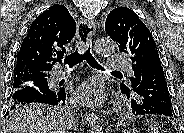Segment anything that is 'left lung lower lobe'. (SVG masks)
Masks as SVG:
<instances>
[{
    "label": "left lung lower lobe",
    "mask_w": 184,
    "mask_h": 133,
    "mask_svg": "<svg viewBox=\"0 0 184 133\" xmlns=\"http://www.w3.org/2000/svg\"><path fill=\"white\" fill-rule=\"evenodd\" d=\"M143 79L133 91H122L127 98L132 97V113L137 115L173 116L172 103L159 55L153 51L144 63Z\"/></svg>",
    "instance_id": "obj_1"
}]
</instances>
